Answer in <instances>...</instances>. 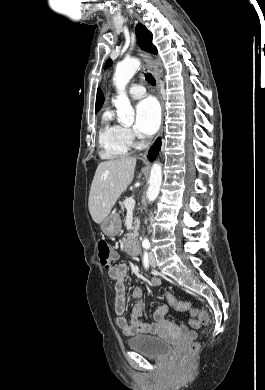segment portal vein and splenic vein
Returning a JSON list of instances; mask_svg holds the SVG:
<instances>
[{
    "instance_id": "obj_1",
    "label": "portal vein and splenic vein",
    "mask_w": 265,
    "mask_h": 390,
    "mask_svg": "<svg viewBox=\"0 0 265 390\" xmlns=\"http://www.w3.org/2000/svg\"><path fill=\"white\" fill-rule=\"evenodd\" d=\"M124 206L127 208V209H133L134 206H135V200L130 197V198H127L125 201H124Z\"/></svg>"
}]
</instances>
